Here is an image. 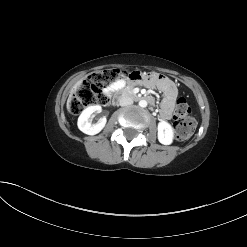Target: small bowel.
Instances as JSON below:
<instances>
[{
  "mask_svg": "<svg viewBox=\"0 0 247 247\" xmlns=\"http://www.w3.org/2000/svg\"><path fill=\"white\" fill-rule=\"evenodd\" d=\"M126 78L132 82H147V85L157 87L161 90L164 98L161 102L160 116L164 120L171 118L178 95L177 88L171 80L155 72L134 70L127 71ZM124 86L125 81L123 79L119 80L112 84L107 92L108 94L114 93Z\"/></svg>",
  "mask_w": 247,
  "mask_h": 247,
  "instance_id": "1",
  "label": "small bowel"
}]
</instances>
